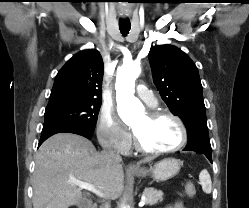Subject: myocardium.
Instances as JSON below:
<instances>
[{
  "mask_svg": "<svg viewBox=\"0 0 249 208\" xmlns=\"http://www.w3.org/2000/svg\"><path fill=\"white\" fill-rule=\"evenodd\" d=\"M147 114L151 119H157L160 117H169L173 119L179 126V129L181 132V139L176 146L169 148V149H149V148H146L144 145H142V143L140 142V140L138 139L135 133L134 134V145H135V148L139 152L144 153V154H151V155L169 154V153H174L185 146V144L188 141V131H187L185 123L179 116H177L176 114L168 110H151Z\"/></svg>",
  "mask_w": 249,
  "mask_h": 208,
  "instance_id": "1",
  "label": "myocardium"
}]
</instances>
